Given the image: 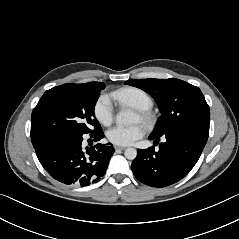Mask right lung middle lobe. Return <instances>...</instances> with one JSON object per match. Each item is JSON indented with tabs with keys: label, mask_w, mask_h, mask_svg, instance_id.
Wrapping results in <instances>:
<instances>
[{
	"label": "right lung middle lobe",
	"mask_w": 239,
	"mask_h": 239,
	"mask_svg": "<svg viewBox=\"0 0 239 239\" xmlns=\"http://www.w3.org/2000/svg\"><path fill=\"white\" fill-rule=\"evenodd\" d=\"M105 88L103 83L63 84L47 90L31 116L34 148L47 136L59 132L90 134L100 130L94 107Z\"/></svg>",
	"instance_id": "1"
}]
</instances>
